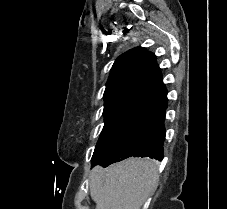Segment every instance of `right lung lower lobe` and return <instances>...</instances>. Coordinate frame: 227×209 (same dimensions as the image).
<instances>
[{
  "label": "right lung lower lobe",
  "instance_id": "98d812e1",
  "mask_svg": "<svg viewBox=\"0 0 227 209\" xmlns=\"http://www.w3.org/2000/svg\"><path fill=\"white\" fill-rule=\"evenodd\" d=\"M167 98L155 106L147 124L131 139L115 150L104 162L103 167L129 157H150L163 159L165 141V110Z\"/></svg>",
  "mask_w": 227,
  "mask_h": 209
}]
</instances>
